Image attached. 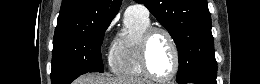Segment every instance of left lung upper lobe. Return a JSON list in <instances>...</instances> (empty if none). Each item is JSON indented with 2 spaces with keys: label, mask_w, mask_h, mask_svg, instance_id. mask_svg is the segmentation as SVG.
<instances>
[{
  "label": "left lung upper lobe",
  "mask_w": 260,
  "mask_h": 84,
  "mask_svg": "<svg viewBox=\"0 0 260 84\" xmlns=\"http://www.w3.org/2000/svg\"><path fill=\"white\" fill-rule=\"evenodd\" d=\"M168 30L179 55L176 81L216 78L217 62L207 0H135Z\"/></svg>",
  "instance_id": "left-lung-upper-lobe-1"
}]
</instances>
